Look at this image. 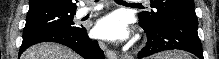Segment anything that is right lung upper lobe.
Returning a JSON list of instances; mask_svg holds the SVG:
<instances>
[{
  "label": "right lung upper lobe",
  "instance_id": "1",
  "mask_svg": "<svg viewBox=\"0 0 219 59\" xmlns=\"http://www.w3.org/2000/svg\"><path fill=\"white\" fill-rule=\"evenodd\" d=\"M56 9L63 11H75L77 6L72 0H30L29 12Z\"/></svg>",
  "mask_w": 219,
  "mask_h": 59
}]
</instances>
